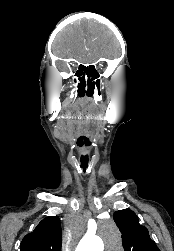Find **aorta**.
<instances>
[{
	"mask_svg": "<svg viewBox=\"0 0 174 251\" xmlns=\"http://www.w3.org/2000/svg\"><path fill=\"white\" fill-rule=\"evenodd\" d=\"M105 237V247L108 251H118L121 247V236L114 225L106 226L103 229ZM104 243L98 237L85 236L75 251H103Z\"/></svg>",
	"mask_w": 174,
	"mask_h": 251,
	"instance_id": "obj_1",
	"label": "aorta"
}]
</instances>
